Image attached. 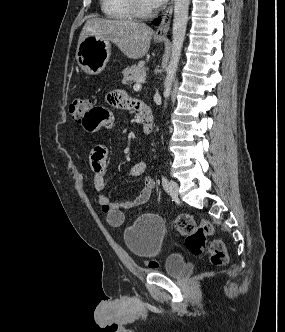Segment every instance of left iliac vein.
<instances>
[{
	"mask_svg": "<svg viewBox=\"0 0 285 332\" xmlns=\"http://www.w3.org/2000/svg\"><path fill=\"white\" fill-rule=\"evenodd\" d=\"M168 189L171 197L177 199L179 195V186L174 180L169 181Z\"/></svg>",
	"mask_w": 285,
	"mask_h": 332,
	"instance_id": "4c4485c4",
	"label": "left iliac vein"
}]
</instances>
